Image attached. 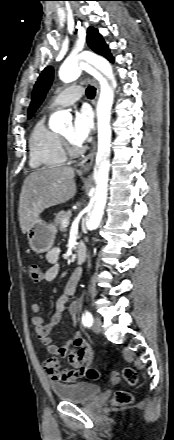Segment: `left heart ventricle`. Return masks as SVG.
<instances>
[{
	"label": "left heart ventricle",
	"instance_id": "obj_1",
	"mask_svg": "<svg viewBox=\"0 0 174 440\" xmlns=\"http://www.w3.org/2000/svg\"><path fill=\"white\" fill-rule=\"evenodd\" d=\"M62 135H64L65 137H67L70 140V128L65 129L62 132Z\"/></svg>",
	"mask_w": 174,
	"mask_h": 440
}]
</instances>
